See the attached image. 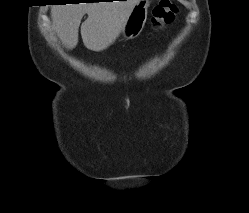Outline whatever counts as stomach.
Listing matches in <instances>:
<instances>
[{
  "instance_id": "obj_1",
  "label": "stomach",
  "mask_w": 249,
  "mask_h": 213,
  "mask_svg": "<svg viewBox=\"0 0 249 213\" xmlns=\"http://www.w3.org/2000/svg\"><path fill=\"white\" fill-rule=\"evenodd\" d=\"M150 3L148 0H139L132 8L124 27L121 30L125 39L137 37L144 28Z\"/></svg>"
}]
</instances>
